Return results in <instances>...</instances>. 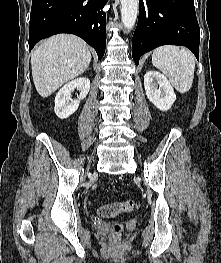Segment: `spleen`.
Returning a JSON list of instances; mask_svg holds the SVG:
<instances>
[{
    "label": "spleen",
    "instance_id": "spleen-1",
    "mask_svg": "<svg viewBox=\"0 0 221 263\" xmlns=\"http://www.w3.org/2000/svg\"><path fill=\"white\" fill-rule=\"evenodd\" d=\"M152 63L180 93L188 92L193 83L195 57L188 49L174 45L158 47L153 51Z\"/></svg>",
    "mask_w": 221,
    "mask_h": 263
}]
</instances>
